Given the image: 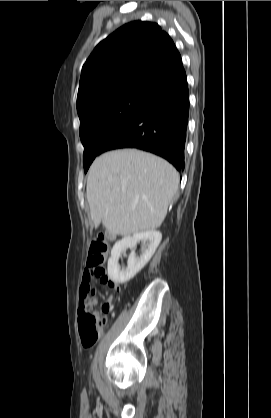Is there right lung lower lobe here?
<instances>
[{
  "instance_id": "98d812e1",
  "label": "right lung lower lobe",
  "mask_w": 271,
  "mask_h": 418,
  "mask_svg": "<svg viewBox=\"0 0 271 418\" xmlns=\"http://www.w3.org/2000/svg\"><path fill=\"white\" fill-rule=\"evenodd\" d=\"M188 115L189 91L184 73L120 126L102 145L100 154L118 148L142 149L182 171Z\"/></svg>"
}]
</instances>
